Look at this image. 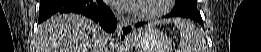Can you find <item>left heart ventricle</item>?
<instances>
[{
	"label": "left heart ventricle",
	"mask_w": 261,
	"mask_h": 52,
	"mask_svg": "<svg viewBox=\"0 0 261 52\" xmlns=\"http://www.w3.org/2000/svg\"><path fill=\"white\" fill-rule=\"evenodd\" d=\"M161 0H150V1H142L141 5L144 9L152 10L156 9L160 6Z\"/></svg>",
	"instance_id": "b2bd125f"
}]
</instances>
